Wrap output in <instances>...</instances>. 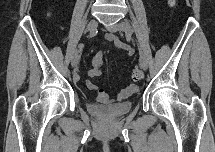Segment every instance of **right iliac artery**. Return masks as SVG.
<instances>
[{
	"label": "right iliac artery",
	"mask_w": 215,
	"mask_h": 152,
	"mask_svg": "<svg viewBox=\"0 0 215 152\" xmlns=\"http://www.w3.org/2000/svg\"><path fill=\"white\" fill-rule=\"evenodd\" d=\"M96 34H97V30H94V31L90 32L89 36H90V37H93V36H95ZM78 47H79L80 49H82V48L84 47V45H83V44H79Z\"/></svg>",
	"instance_id": "obj_1"
}]
</instances>
